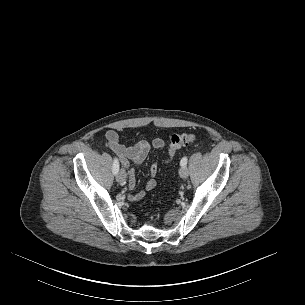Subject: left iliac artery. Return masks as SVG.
Listing matches in <instances>:
<instances>
[{"instance_id":"44dca946","label":"left iliac artery","mask_w":305,"mask_h":305,"mask_svg":"<svg viewBox=\"0 0 305 305\" xmlns=\"http://www.w3.org/2000/svg\"><path fill=\"white\" fill-rule=\"evenodd\" d=\"M187 157L185 156V157H183L182 159H181V161H180V165L181 166H186L187 165Z\"/></svg>"}]
</instances>
